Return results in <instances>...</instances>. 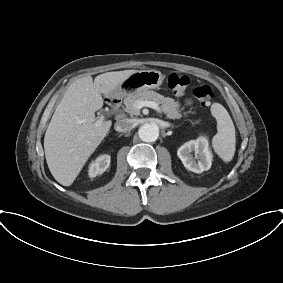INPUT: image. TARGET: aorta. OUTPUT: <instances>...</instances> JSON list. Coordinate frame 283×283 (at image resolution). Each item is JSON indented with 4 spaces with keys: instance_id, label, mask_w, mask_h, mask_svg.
<instances>
[{
    "instance_id": "762f6f07",
    "label": "aorta",
    "mask_w": 283,
    "mask_h": 283,
    "mask_svg": "<svg viewBox=\"0 0 283 283\" xmlns=\"http://www.w3.org/2000/svg\"><path fill=\"white\" fill-rule=\"evenodd\" d=\"M138 135L144 142H154L159 136V127L156 123H145L139 130Z\"/></svg>"
}]
</instances>
